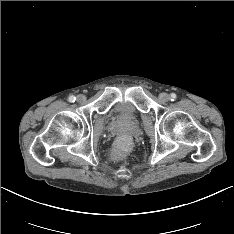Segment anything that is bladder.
I'll use <instances>...</instances> for the list:
<instances>
[{"label":"bladder","instance_id":"obj_1","mask_svg":"<svg viewBox=\"0 0 234 234\" xmlns=\"http://www.w3.org/2000/svg\"><path fill=\"white\" fill-rule=\"evenodd\" d=\"M111 114L121 118L132 117L131 107L129 106V104L124 102L115 103L111 109Z\"/></svg>","mask_w":234,"mask_h":234}]
</instances>
